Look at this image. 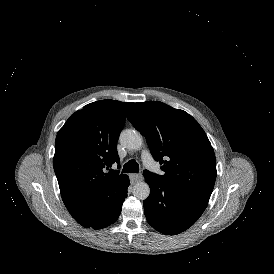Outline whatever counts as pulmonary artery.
Instances as JSON below:
<instances>
[{
	"label": "pulmonary artery",
	"instance_id": "obj_1",
	"mask_svg": "<svg viewBox=\"0 0 274 274\" xmlns=\"http://www.w3.org/2000/svg\"><path fill=\"white\" fill-rule=\"evenodd\" d=\"M149 157V153H148V151H143V153H142V158H143V160H145L146 158H148Z\"/></svg>",
	"mask_w": 274,
	"mask_h": 274
}]
</instances>
